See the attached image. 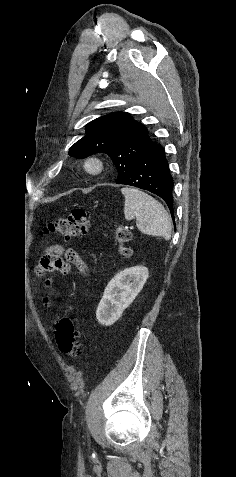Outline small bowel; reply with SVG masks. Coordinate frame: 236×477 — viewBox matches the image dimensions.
I'll list each match as a JSON object with an SVG mask.
<instances>
[{"mask_svg":"<svg viewBox=\"0 0 236 477\" xmlns=\"http://www.w3.org/2000/svg\"><path fill=\"white\" fill-rule=\"evenodd\" d=\"M72 266L84 267V263L78 254L72 249L65 250L61 246H54L41 259L39 270L41 272L58 271L66 274ZM45 301L48 302L47 297Z\"/></svg>","mask_w":236,"mask_h":477,"instance_id":"1","label":"small bowel"}]
</instances>
